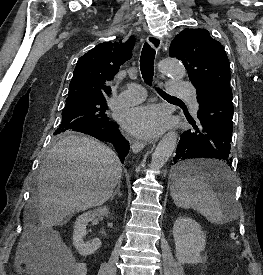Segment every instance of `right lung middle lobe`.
Segmentation results:
<instances>
[{
  "label": "right lung middle lobe",
  "mask_w": 263,
  "mask_h": 275,
  "mask_svg": "<svg viewBox=\"0 0 263 275\" xmlns=\"http://www.w3.org/2000/svg\"><path fill=\"white\" fill-rule=\"evenodd\" d=\"M106 99L102 96L76 95L66 99L62 112V121L53 135L54 141H60L64 134L77 128H103L109 122L106 111Z\"/></svg>",
  "instance_id": "obj_1"
}]
</instances>
